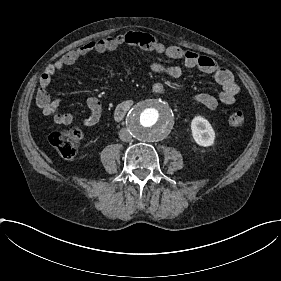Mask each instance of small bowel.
I'll list each match as a JSON object with an SVG mask.
<instances>
[{
  "instance_id": "obj_1",
  "label": "small bowel",
  "mask_w": 281,
  "mask_h": 281,
  "mask_svg": "<svg viewBox=\"0 0 281 281\" xmlns=\"http://www.w3.org/2000/svg\"><path fill=\"white\" fill-rule=\"evenodd\" d=\"M138 47L147 51H154L168 59L181 61L182 64L191 69H196L204 73L213 74L221 85L220 100L231 105L235 102V98L239 91V86L231 72L219 66L213 59L201 56L194 51L185 50L178 45H169L162 39L154 37L147 32L140 30H130L122 35H107L97 41L86 42L84 45L73 49L64 57L57 60L52 66L42 74L37 92V105L44 116H53L52 121L55 125L66 126L75 122V116L72 114H55L56 110L62 104L60 96L55 99L50 98V83L55 73L63 69L67 65L74 64L81 57L91 53H106L116 50L119 47ZM157 74L165 75L171 78H177L181 75L180 66L167 65L156 62L152 66ZM154 92L162 94L166 91V86L162 82H154L152 84ZM197 104L206 109L214 110L218 107L219 99L216 95L208 92H197L194 94ZM86 105L88 115L83 120V125L92 127L98 123L101 118L102 105L97 97L90 96Z\"/></svg>"
}]
</instances>
